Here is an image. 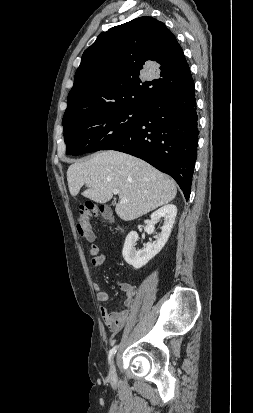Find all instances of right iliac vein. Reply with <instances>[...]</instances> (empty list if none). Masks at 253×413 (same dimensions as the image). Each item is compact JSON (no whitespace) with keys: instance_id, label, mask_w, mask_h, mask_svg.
<instances>
[{"instance_id":"1","label":"right iliac vein","mask_w":253,"mask_h":413,"mask_svg":"<svg viewBox=\"0 0 253 413\" xmlns=\"http://www.w3.org/2000/svg\"><path fill=\"white\" fill-rule=\"evenodd\" d=\"M116 377H117V375H116V369H115V365H114V361L112 362V365H111V367H110V371H109V378L112 380V381H115L116 380Z\"/></svg>"}]
</instances>
